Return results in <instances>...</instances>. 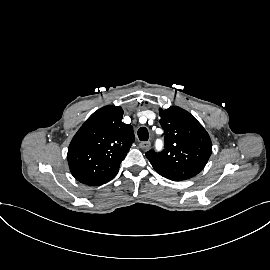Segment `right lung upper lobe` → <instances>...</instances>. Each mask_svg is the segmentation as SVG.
<instances>
[{"label": "right lung upper lobe", "mask_w": 270, "mask_h": 270, "mask_svg": "<svg viewBox=\"0 0 270 270\" xmlns=\"http://www.w3.org/2000/svg\"><path fill=\"white\" fill-rule=\"evenodd\" d=\"M122 117L120 106H105L94 112L73 137L67 159L79 182L99 186L118 173L135 140L132 126L123 123Z\"/></svg>", "instance_id": "1"}]
</instances>
